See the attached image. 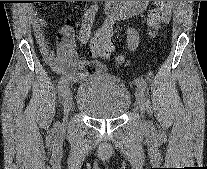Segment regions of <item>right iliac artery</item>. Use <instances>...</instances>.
<instances>
[{
  "label": "right iliac artery",
  "instance_id": "obj_1",
  "mask_svg": "<svg viewBox=\"0 0 207 169\" xmlns=\"http://www.w3.org/2000/svg\"><path fill=\"white\" fill-rule=\"evenodd\" d=\"M96 12H97V7L92 6L84 14V18H83L82 26L80 30V35H79V39L83 43H86L90 37ZM68 80L69 79L65 76L61 77L59 84H58L59 95L63 94V92L65 91L66 86L68 84Z\"/></svg>",
  "mask_w": 207,
  "mask_h": 169
}]
</instances>
